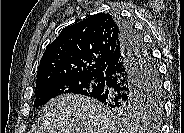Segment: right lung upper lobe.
Masks as SVG:
<instances>
[{"label":"right lung upper lobe","mask_w":184,"mask_h":133,"mask_svg":"<svg viewBox=\"0 0 184 133\" xmlns=\"http://www.w3.org/2000/svg\"><path fill=\"white\" fill-rule=\"evenodd\" d=\"M120 38L117 19L109 13L91 15L65 27L46 47L37 71L36 88L65 77L103 75L120 48Z\"/></svg>","instance_id":"right-lung-upper-lobe-1"}]
</instances>
